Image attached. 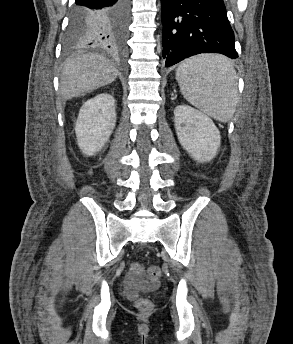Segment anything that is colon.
Masks as SVG:
<instances>
[{
    "mask_svg": "<svg viewBox=\"0 0 293 344\" xmlns=\"http://www.w3.org/2000/svg\"><path fill=\"white\" fill-rule=\"evenodd\" d=\"M143 274H144V268L141 264H139V263L131 264L130 270H129V275L133 279H135V278H137ZM147 275L153 281H157L162 275L161 268L158 265H152L148 268ZM135 307L140 312L145 313V312H149L152 309V303L150 300H148L146 298H139L135 302Z\"/></svg>",
    "mask_w": 293,
    "mask_h": 344,
    "instance_id": "1",
    "label": "colon"
}]
</instances>
